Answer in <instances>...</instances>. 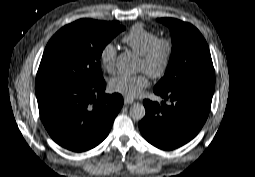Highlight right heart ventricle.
Segmentation results:
<instances>
[{
	"instance_id": "e07e8e85",
	"label": "right heart ventricle",
	"mask_w": 255,
	"mask_h": 177,
	"mask_svg": "<svg viewBox=\"0 0 255 177\" xmlns=\"http://www.w3.org/2000/svg\"><path fill=\"white\" fill-rule=\"evenodd\" d=\"M158 38L159 35L155 31L141 24H136L123 36L122 41L132 51L141 56L148 46Z\"/></svg>"
}]
</instances>
